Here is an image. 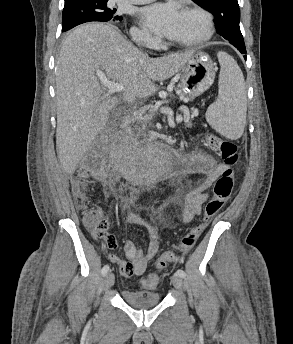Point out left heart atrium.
<instances>
[{"label": "left heart atrium", "instance_id": "left-heart-atrium-1", "mask_svg": "<svg viewBox=\"0 0 293 344\" xmlns=\"http://www.w3.org/2000/svg\"><path fill=\"white\" fill-rule=\"evenodd\" d=\"M181 12L173 3H156L139 12L141 24L161 37H170L180 22Z\"/></svg>", "mask_w": 293, "mask_h": 344}]
</instances>
